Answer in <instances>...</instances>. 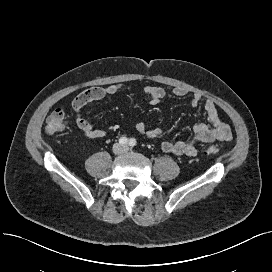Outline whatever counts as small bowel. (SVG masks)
<instances>
[{"instance_id":"c3829d8e","label":"small bowel","mask_w":272,"mask_h":272,"mask_svg":"<svg viewBox=\"0 0 272 272\" xmlns=\"http://www.w3.org/2000/svg\"><path fill=\"white\" fill-rule=\"evenodd\" d=\"M123 88L124 85L121 83L92 87L83 91L73 101L72 109L75 114L76 125L86 137L90 139L103 138L107 135V132L103 129L96 128L88 121V116L96 110V107H91L85 112H82L83 108L91 102L114 95L123 90ZM169 92L177 97H184L189 94V91L183 87H174L171 90L156 86H146L144 88V93L149 97V102L152 105L159 104ZM201 102L202 96L200 94L192 95V107L199 106ZM203 105L209 124L203 122L195 124L193 127L192 137L188 140H164L161 144V148L164 152L193 157L197 154L195 145L198 142H227L232 139L230 126L222 120L217 104L212 100H206ZM135 129L138 133L149 139H158L162 136L161 129L149 128L143 122L137 123L135 125Z\"/></svg>"}]
</instances>
